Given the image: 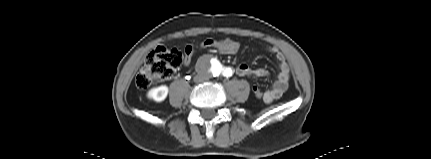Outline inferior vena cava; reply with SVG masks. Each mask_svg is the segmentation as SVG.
Segmentation results:
<instances>
[{
  "instance_id": "inferior-vena-cava-1",
  "label": "inferior vena cava",
  "mask_w": 431,
  "mask_h": 159,
  "mask_svg": "<svg viewBox=\"0 0 431 159\" xmlns=\"http://www.w3.org/2000/svg\"><path fill=\"white\" fill-rule=\"evenodd\" d=\"M206 79V77L205 76H203V75H196L195 77H194V82H202V81H204Z\"/></svg>"
}]
</instances>
